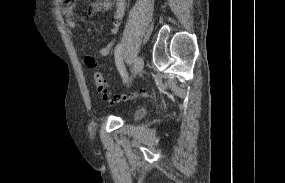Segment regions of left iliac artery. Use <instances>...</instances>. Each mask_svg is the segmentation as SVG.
Returning a JSON list of instances; mask_svg holds the SVG:
<instances>
[{
	"mask_svg": "<svg viewBox=\"0 0 285 183\" xmlns=\"http://www.w3.org/2000/svg\"><path fill=\"white\" fill-rule=\"evenodd\" d=\"M122 48H123L122 43L117 44V46L115 47L114 56H115V62H116L117 69L119 70L123 78V81L125 82L127 80L128 75H127L126 68L122 62V56H121Z\"/></svg>",
	"mask_w": 285,
	"mask_h": 183,
	"instance_id": "44dca946",
	"label": "left iliac artery"
}]
</instances>
